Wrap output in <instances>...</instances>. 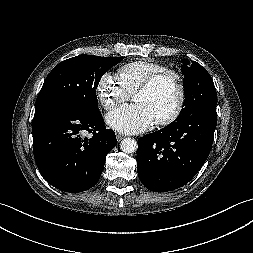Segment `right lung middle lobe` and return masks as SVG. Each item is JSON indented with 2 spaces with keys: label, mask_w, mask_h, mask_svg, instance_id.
<instances>
[{
  "label": "right lung middle lobe",
  "mask_w": 253,
  "mask_h": 253,
  "mask_svg": "<svg viewBox=\"0 0 253 253\" xmlns=\"http://www.w3.org/2000/svg\"><path fill=\"white\" fill-rule=\"evenodd\" d=\"M124 57L80 55L62 61L49 73L36 101L44 105H63L81 112L97 111L96 88L104 73Z\"/></svg>",
  "instance_id": "obj_1"
}]
</instances>
